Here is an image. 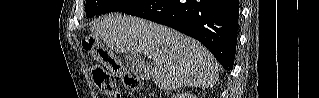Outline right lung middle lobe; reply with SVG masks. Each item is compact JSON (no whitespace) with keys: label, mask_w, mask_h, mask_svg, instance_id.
<instances>
[{"label":"right lung middle lobe","mask_w":319,"mask_h":98,"mask_svg":"<svg viewBox=\"0 0 319 98\" xmlns=\"http://www.w3.org/2000/svg\"><path fill=\"white\" fill-rule=\"evenodd\" d=\"M146 2L147 0H87L86 17L90 18L112 11L126 12Z\"/></svg>","instance_id":"right-lung-middle-lobe-1"}]
</instances>
